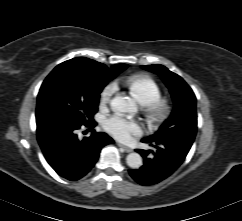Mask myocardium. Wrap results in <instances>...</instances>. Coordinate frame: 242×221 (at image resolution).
I'll return each mask as SVG.
<instances>
[{
    "instance_id": "1",
    "label": "myocardium",
    "mask_w": 242,
    "mask_h": 221,
    "mask_svg": "<svg viewBox=\"0 0 242 221\" xmlns=\"http://www.w3.org/2000/svg\"><path fill=\"white\" fill-rule=\"evenodd\" d=\"M147 113L152 122H163L171 113V107L166 101L157 100L148 105Z\"/></svg>"
}]
</instances>
